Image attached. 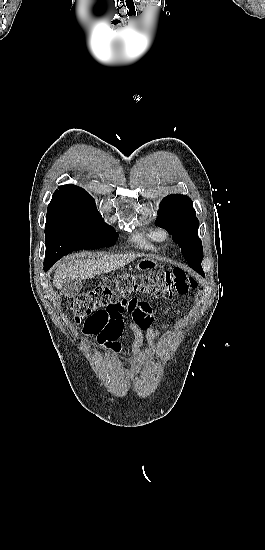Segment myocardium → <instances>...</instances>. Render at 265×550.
Masks as SVG:
<instances>
[{
    "label": "myocardium",
    "mask_w": 265,
    "mask_h": 550,
    "mask_svg": "<svg viewBox=\"0 0 265 550\" xmlns=\"http://www.w3.org/2000/svg\"><path fill=\"white\" fill-rule=\"evenodd\" d=\"M155 237H156V241L160 243H165L169 239V233L166 229L159 228L155 231Z\"/></svg>",
    "instance_id": "myocardium-1"
}]
</instances>
